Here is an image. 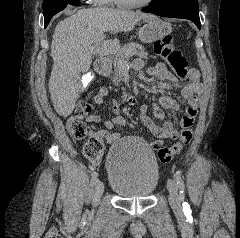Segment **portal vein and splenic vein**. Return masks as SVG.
<instances>
[{
    "instance_id": "portal-vein-and-splenic-vein-1",
    "label": "portal vein and splenic vein",
    "mask_w": 240,
    "mask_h": 238,
    "mask_svg": "<svg viewBox=\"0 0 240 238\" xmlns=\"http://www.w3.org/2000/svg\"><path fill=\"white\" fill-rule=\"evenodd\" d=\"M90 52L92 53V54H98V53H100L101 55H109V54H114V53H116L114 50H106V51H103V50H101V48L99 47V46H94V47H91L90 48ZM128 56H132V53H128L127 54Z\"/></svg>"
}]
</instances>
